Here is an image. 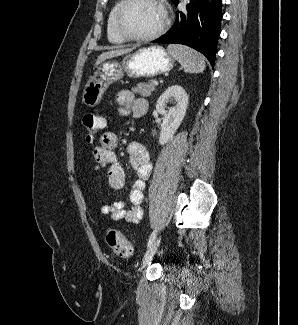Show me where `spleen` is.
<instances>
[{"mask_svg": "<svg viewBox=\"0 0 298 325\" xmlns=\"http://www.w3.org/2000/svg\"><path fill=\"white\" fill-rule=\"evenodd\" d=\"M167 52L175 60H178L179 64L184 68V72H203L205 70V58L194 48H189L184 44H168Z\"/></svg>", "mask_w": 298, "mask_h": 325, "instance_id": "obj_1", "label": "spleen"}]
</instances>
